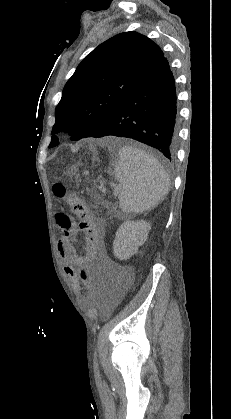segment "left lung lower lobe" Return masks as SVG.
I'll return each mask as SVG.
<instances>
[{
    "label": "left lung lower lobe",
    "mask_w": 231,
    "mask_h": 419,
    "mask_svg": "<svg viewBox=\"0 0 231 419\" xmlns=\"http://www.w3.org/2000/svg\"><path fill=\"white\" fill-rule=\"evenodd\" d=\"M109 135L135 139L173 159L177 140L176 89L166 58L137 83L91 137Z\"/></svg>",
    "instance_id": "obj_1"
}]
</instances>
